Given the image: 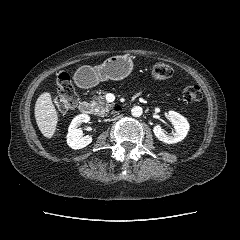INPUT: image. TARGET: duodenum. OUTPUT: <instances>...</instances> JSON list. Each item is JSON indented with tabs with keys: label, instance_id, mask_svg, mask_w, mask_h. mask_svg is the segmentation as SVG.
<instances>
[{
	"label": "duodenum",
	"instance_id": "410a0bca",
	"mask_svg": "<svg viewBox=\"0 0 240 240\" xmlns=\"http://www.w3.org/2000/svg\"><path fill=\"white\" fill-rule=\"evenodd\" d=\"M79 109L84 114H90L92 112V106L88 101L80 102Z\"/></svg>",
	"mask_w": 240,
	"mask_h": 240
}]
</instances>
